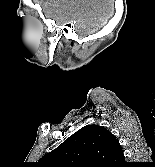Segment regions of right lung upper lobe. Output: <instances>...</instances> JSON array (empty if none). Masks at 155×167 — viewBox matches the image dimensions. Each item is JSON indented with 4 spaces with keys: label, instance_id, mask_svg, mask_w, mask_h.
Here are the masks:
<instances>
[{
    "label": "right lung upper lobe",
    "instance_id": "1",
    "mask_svg": "<svg viewBox=\"0 0 155 167\" xmlns=\"http://www.w3.org/2000/svg\"><path fill=\"white\" fill-rule=\"evenodd\" d=\"M122 147L106 128L88 125L40 159L43 167H121Z\"/></svg>",
    "mask_w": 155,
    "mask_h": 167
}]
</instances>
